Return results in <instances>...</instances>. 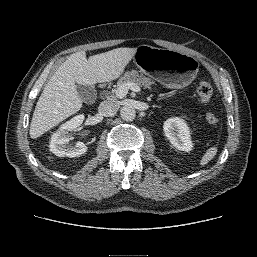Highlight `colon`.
<instances>
[{
	"instance_id": "obj_1",
	"label": "colon",
	"mask_w": 257,
	"mask_h": 257,
	"mask_svg": "<svg viewBox=\"0 0 257 257\" xmlns=\"http://www.w3.org/2000/svg\"><path fill=\"white\" fill-rule=\"evenodd\" d=\"M196 92L199 100L203 103H207L213 95V88L209 82L201 81L197 86ZM206 120L211 125H216L218 123V118L213 113H207Z\"/></svg>"
}]
</instances>
